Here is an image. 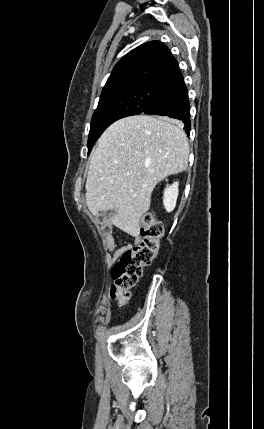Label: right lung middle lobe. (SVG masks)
<instances>
[{
  "instance_id": "dd1d6c3e",
  "label": "right lung middle lobe",
  "mask_w": 264,
  "mask_h": 429,
  "mask_svg": "<svg viewBox=\"0 0 264 429\" xmlns=\"http://www.w3.org/2000/svg\"><path fill=\"white\" fill-rule=\"evenodd\" d=\"M158 90L159 86L136 85L101 95L91 121L88 154L109 125L121 118L142 113Z\"/></svg>"
}]
</instances>
